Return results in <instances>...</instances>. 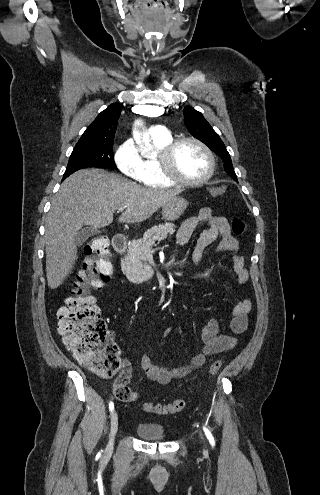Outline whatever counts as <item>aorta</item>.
Segmentation results:
<instances>
[{
	"label": "aorta",
	"instance_id": "obj_1",
	"mask_svg": "<svg viewBox=\"0 0 320 495\" xmlns=\"http://www.w3.org/2000/svg\"><path fill=\"white\" fill-rule=\"evenodd\" d=\"M144 109L149 113V115H156L160 110V108L156 107V106H146ZM141 124H142L141 120H136L134 122L133 137H134L136 144L140 147L142 153H146L148 151V147H146L142 141V134L139 130V126Z\"/></svg>",
	"mask_w": 320,
	"mask_h": 495
}]
</instances>
